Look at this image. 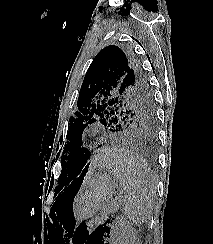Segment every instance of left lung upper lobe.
<instances>
[{"label":"left lung upper lobe","instance_id":"1","mask_svg":"<svg viewBox=\"0 0 213 244\" xmlns=\"http://www.w3.org/2000/svg\"><path fill=\"white\" fill-rule=\"evenodd\" d=\"M77 106L62 153L60 189L74 179L78 160L86 149L81 147L83 130L97 116L111 132L129 133L147 141L156 135L155 104L147 76L136 58L118 46L109 45L95 56L84 77Z\"/></svg>","mask_w":213,"mask_h":244}]
</instances>
